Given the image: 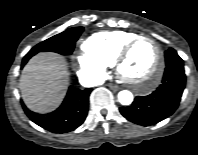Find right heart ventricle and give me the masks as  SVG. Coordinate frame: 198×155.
Returning <instances> with one entry per match:
<instances>
[{"label": "right heart ventricle", "instance_id": "right-heart-ventricle-1", "mask_svg": "<svg viewBox=\"0 0 198 155\" xmlns=\"http://www.w3.org/2000/svg\"><path fill=\"white\" fill-rule=\"evenodd\" d=\"M137 36L139 34L131 31H103L89 36L83 42L82 47L92 57L100 60L106 66H111L125 43Z\"/></svg>", "mask_w": 198, "mask_h": 155}]
</instances>
